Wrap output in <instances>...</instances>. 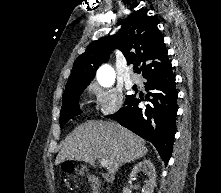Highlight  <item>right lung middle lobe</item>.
Segmentation results:
<instances>
[{
  "mask_svg": "<svg viewBox=\"0 0 221 193\" xmlns=\"http://www.w3.org/2000/svg\"><path fill=\"white\" fill-rule=\"evenodd\" d=\"M86 86H73L66 88L63 95V103L60 113V126L66 124V122L74 116L81 113L79 108V98ZM133 95L126 96V101ZM125 101V102H126Z\"/></svg>",
  "mask_w": 221,
  "mask_h": 193,
  "instance_id": "dd1d6c3e",
  "label": "right lung middle lobe"
}]
</instances>
